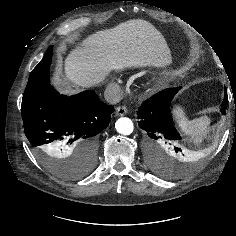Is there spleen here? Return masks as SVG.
<instances>
[{
    "instance_id": "spleen-1",
    "label": "spleen",
    "mask_w": 236,
    "mask_h": 236,
    "mask_svg": "<svg viewBox=\"0 0 236 236\" xmlns=\"http://www.w3.org/2000/svg\"><path fill=\"white\" fill-rule=\"evenodd\" d=\"M179 130L183 135L187 136L189 140L195 143H200L203 138L209 133L210 119L207 116H202L193 120H177Z\"/></svg>"
}]
</instances>
